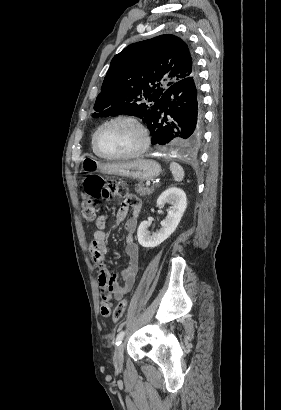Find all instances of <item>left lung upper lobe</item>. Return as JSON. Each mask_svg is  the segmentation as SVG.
<instances>
[{
    "instance_id": "obj_1",
    "label": "left lung upper lobe",
    "mask_w": 281,
    "mask_h": 410,
    "mask_svg": "<svg viewBox=\"0 0 281 410\" xmlns=\"http://www.w3.org/2000/svg\"><path fill=\"white\" fill-rule=\"evenodd\" d=\"M196 72L192 53L179 37L166 34L133 43L112 59L92 117L131 114L145 121L168 87Z\"/></svg>"
}]
</instances>
